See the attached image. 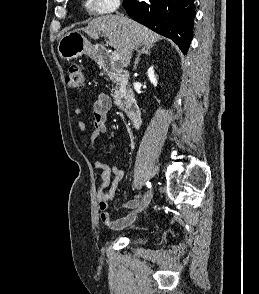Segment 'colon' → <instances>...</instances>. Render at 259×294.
Segmentation results:
<instances>
[{"label":"colon","mask_w":259,"mask_h":294,"mask_svg":"<svg viewBox=\"0 0 259 294\" xmlns=\"http://www.w3.org/2000/svg\"><path fill=\"white\" fill-rule=\"evenodd\" d=\"M66 84L70 89H81L86 84L83 69L78 64H72L66 75Z\"/></svg>","instance_id":"5ec220e1"}]
</instances>
